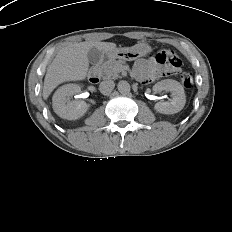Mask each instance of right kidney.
<instances>
[{
    "instance_id": "ca27d5eb",
    "label": "right kidney",
    "mask_w": 232,
    "mask_h": 232,
    "mask_svg": "<svg viewBox=\"0 0 232 232\" xmlns=\"http://www.w3.org/2000/svg\"><path fill=\"white\" fill-rule=\"evenodd\" d=\"M81 92V87L77 84H66L61 86L54 93L53 109L55 113L67 120L81 118L89 109V105L84 101H70L69 96Z\"/></svg>"
}]
</instances>
